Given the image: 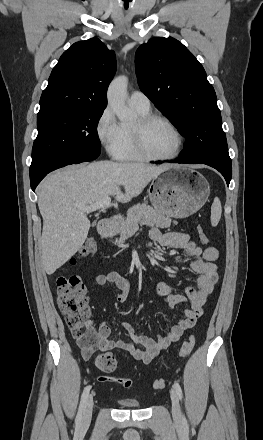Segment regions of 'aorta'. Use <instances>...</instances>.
Segmentation results:
<instances>
[{
    "label": "aorta",
    "instance_id": "762f6f07",
    "mask_svg": "<svg viewBox=\"0 0 263 440\" xmlns=\"http://www.w3.org/2000/svg\"><path fill=\"white\" fill-rule=\"evenodd\" d=\"M127 86L128 78L119 76L110 83L107 91L108 104L123 123H130L136 119V113L126 105Z\"/></svg>",
    "mask_w": 263,
    "mask_h": 440
}]
</instances>
